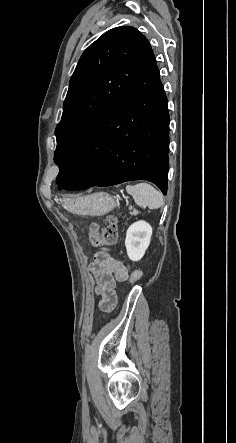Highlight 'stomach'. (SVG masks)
<instances>
[{"instance_id":"1","label":"stomach","mask_w":236,"mask_h":443,"mask_svg":"<svg viewBox=\"0 0 236 443\" xmlns=\"http://www.w3.org/2000/svg\"><path fill=\"white\" fill-rule=\"evenodd\" d=\"M65 208L73 213L101 216L114 209L116 201L105 192H97L85 197L68 199Z\"/></svg>"}]
</instances>
